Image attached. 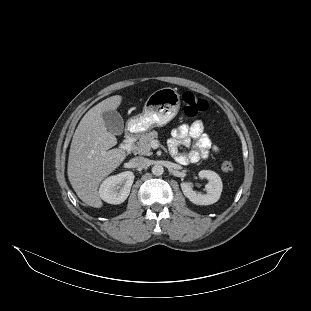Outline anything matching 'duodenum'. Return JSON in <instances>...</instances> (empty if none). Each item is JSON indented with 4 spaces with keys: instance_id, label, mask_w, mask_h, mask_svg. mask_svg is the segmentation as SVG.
Returning <instances> with one entry per match:
<instances>
[{
    "instance_id": "obj_1",
    "label": "duodenum",
    "mask_w": 311,
    "mask_h": 311,
    "mask_svg": "<svg viewBox=\"0 0 311 311\" xmlns=\"http://www.w3.org/2000/svg\"><path fill=\"white\" fill-rule=\"evenodd\" d=\"M135 141V133L130 131L125 135L123 142L120 145L122 151L128 153L131 151Z\"/></svg>"
}]
</instances>
